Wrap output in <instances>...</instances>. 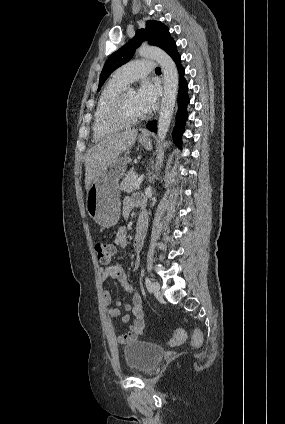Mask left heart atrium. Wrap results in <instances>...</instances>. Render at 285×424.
<instances>
[{"instance_id":"1","label":"left heart atrium","mask_w":285,"mask_h":424,"mask_svg":"<svg viewBox=\"0 0 285 424\" xmlns=\"http://www.w3.org/2000/svg\"><path fill=\"white\" fill-rule=\"evenodd\" d=\"M159 90L149 81H145L136 93V100L143 114L152 112L158 103Z\"/></svg>"}]
</instances>
